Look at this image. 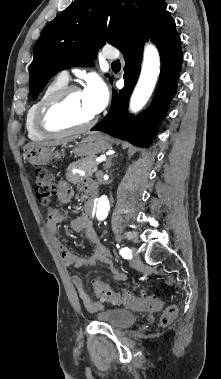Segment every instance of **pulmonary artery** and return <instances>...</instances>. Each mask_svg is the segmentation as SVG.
<instances>
[{"label": "pulmonary artery", "mask_w": 221, "mask_h": 379, "mask_svg": "<svg viewBox=\"0 0 221 379\" xmlns=\"http://www.w3.org/2000/svg\"><path fill=\"white\" fill-rule=\"evenodd\" d=\"M103 57L105 59H117L119 57V53L114 49H106L103 51ZM58 77L66 82L70 79V75L67 70L61 71L58 74Z\"/></svg>", "instance_id": "1"}]
</instances>
